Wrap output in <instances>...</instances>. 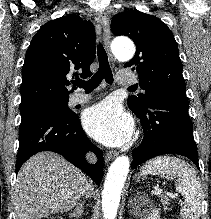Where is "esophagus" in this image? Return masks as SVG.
<instances>
[{"instance_id":"1","label":"esophagus","mask_w":211,"mask_h":219,"mask_svg":"<svg viewBox=\"0 0 211 219\" xmlns=\"http://www.w3.org/2000/svg\"><path fill=\"white\" fill-rule=\"evenodd\" d=\"M98 20L103 28V38H104V45L109 53V45L111 39V31H110V24H109V17L106 12L102 11L98 14ZM110 54V53H109ZM110 60L113 62V57L110 55ZM116 151H109L105 156V161L109 162L117 156Z\"/></svg>"}]
</instances>
